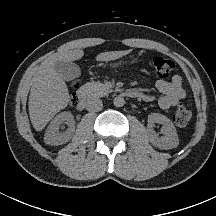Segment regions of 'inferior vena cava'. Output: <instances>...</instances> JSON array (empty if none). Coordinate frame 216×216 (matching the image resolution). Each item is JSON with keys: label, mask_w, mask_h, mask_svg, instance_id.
I'll return each mask as SVG.
<instances>
[{"label": "inferior vena cava", "mask_w": 216, "mask_h": 216, "mask_svg": "<svg viewBox=\"0 0 216 216\" xmlns=\"http://www.w3.org/2000/svg\"><path fill=\"white\" fill-rule=\"evenodd\" d=\"M103 103L99 98H91L87 101V110L91 112H98L102 109Z\"/></svg>", "instance_id": "1"}]
</instances>
